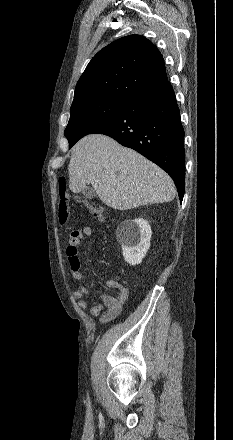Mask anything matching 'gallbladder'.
<instances>
[{
    "instance_id": "obj_1",
    "label": "gallbladder",
    "mask_w": 233,
    "mask_h": 440,
    "mask_svg": "<svg viewBox=\"0 0 233 440\" xmlns=\"http://www.w3.org/2000/svg\"><path fill=\"white\" fill-rule=\"evenodd\" d=\"M82 192L87 199H93L97 197L96 191L91 186H86Z\"/></svg>"
}]
</instances>
